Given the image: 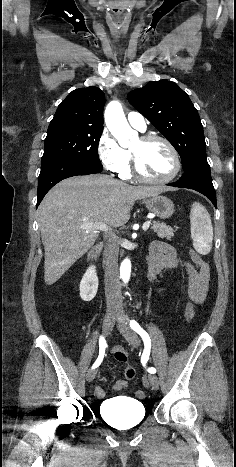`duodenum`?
Masks as SVG:
<instances>
[{
  "label": "duodenum",
  "instance_id": "410a0bca",
  "mask_svg": "<svg viewBox=\"0 0 236 467\" xmlns=\"http://www.w3.org/2000/svg\"><path fill=\"white\" fill-rule=\"evenodd\" d=\"M101 249L102 243H98L90 250L88 254V263L90 265H94L97 262Z\"/></svg>",
  "mask_w": 236,
  "mask_h": 467
}]
</instances>
